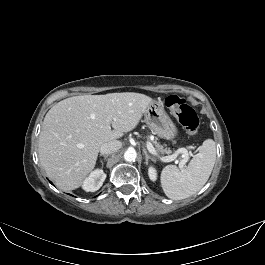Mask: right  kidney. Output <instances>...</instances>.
<instances>
[{
    "label": "right kidney",
    "mask_w": 265,
    "mask_h": 265,
    "mask_svg": "<svg viewBox=\"0 0 265 265\" xmlns=\"http://www.w3.org/2000/svg\"><path fill=\"white\" fill-rule=\"evenodd\" d=\"M105 179V172L102 169H97L84 180L82 187L87 192L97 191L103 185Z\"/></svg>",
    "instance_id": "ca27d5eb"
}]
</instances>
